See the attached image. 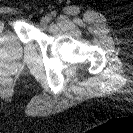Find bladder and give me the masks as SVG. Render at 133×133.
Segmentation results:
<instances>
[{"instance_id": "obj_1", "label": "bladder", "mask_w": 133, "mask_h": 133, "mask_svg": "<svg viewBox=\"0 0 133 133\" xmlns=\"http://www.w3.org/2000/svg\"><path fill=\"white\" fill-rule=\"evenodd\" d=\"M22 54L23 46L18 38L11 31H0V57L14 60L20 58Z\"/></svg>"}]
</instances>
